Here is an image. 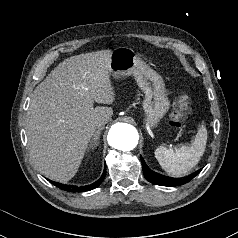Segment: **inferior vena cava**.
<instances>
[{"label":"inferior vena cava","instance_id":"obj_1","mask_svg":"<svg viewBox=\"0 0 238 238\" xmlns=\"http://www.w3.org/2000/svg\"><path fill=\"white\" fill-rule=\"evenodd\" d=\"M107 122H108V120H106V119L100 120L97 122V127L98 128L104 127Z\"/></svg>","mask_w":238,"mask_h":238}]
</instances>
